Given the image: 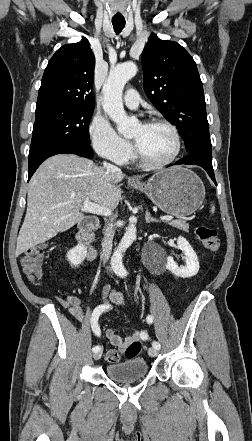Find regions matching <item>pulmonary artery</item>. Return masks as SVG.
<instances>
[{"label":"pulmonary artery","mask_w":252,"mask_h":441,"mask_svg":"<svg viewBox=\"0 0 252 441\" xmlns=\"http://www.w3.org/2000/svg\"><path fill=\"white\" fill-rule=\"evenodd\" d=\"M123 101L124 104L131 109L138 108L140 104V97L138 92L135 89H129L126 92Z\"/></svg>","instance_id":"pulmonary-artery-1"}]
</instances>
